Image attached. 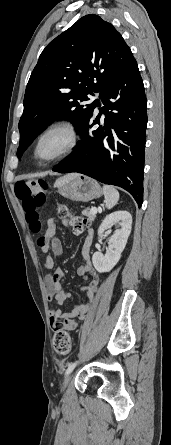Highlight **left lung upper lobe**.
Segmentation results:
<instances>
[{"instance_id": "left-lung-upper-lobe-1", "label": "left lung upper lobe", "mask_w": 171, "mask_h": 445, "mask_svg": "<svg viewBox=\"0 0 171 445\" xmlns=\"http://www.w3.org/2000/svg\"><path fill=\"white\" fill-rule=\"evenodd\" d=\"M136 63L121 34L94 14L82 17L52 40L26 87L17 156L54 120H70L79 134L96 100L87 105L81 102Z\"/></svg>"}]
</instances>
